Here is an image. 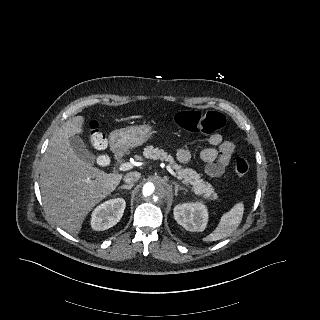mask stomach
Segmentation results:
<instances>
[{
    "instance_id": "1",
    "label": "stomach",
    "mask_w": 320,
    "mask_h": 320,
    "mask_svg": "<svg viewBox=\"0 0 320 320\" xmlns=\"http://www.w3.org/2000/svg\"><path fill=\"white\" fill-rule=\"evenodd\" d=\"M152 135L150 125L129 126L114 130L110 134V142L117 148L126 150L147 142Z\"/></svg>"
}]
</instances>
